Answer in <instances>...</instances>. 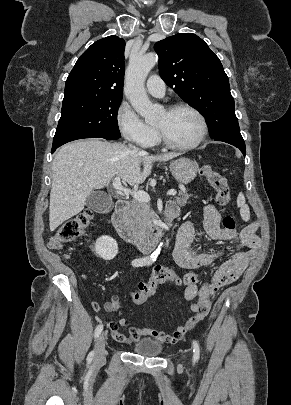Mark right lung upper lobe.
<instances>
[{
	"label": "right lung upper lobe",
	"instance_id": "1",
	"mask_svg": "<svg viewBox=\"0 0 291 405\" xmlns=\"http://www.w3.org/2000/svg\"><path fill=\"white\" fill-rule=\"evenodd\" d=\"M125 41L116 35L93 43L77 60L65 85L63 103L123 96Z\"/></svg>",
	"mask_w": 291,
	"mask_h": 405
}]
</instances>
